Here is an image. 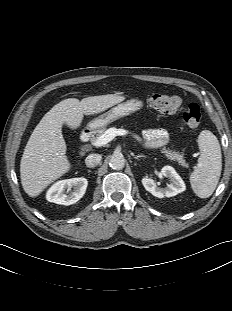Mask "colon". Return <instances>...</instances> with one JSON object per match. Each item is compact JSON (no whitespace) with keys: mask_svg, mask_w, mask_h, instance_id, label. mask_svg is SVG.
<instances>
[{"mask_svg":"<svg viewBox=\"0 0 232 311\" xmlns=\"http://www.w3.org/2000/svg\"><path fill=\"white\" fill-rule=\"evenodd\" d=\"M148 104L159 112L180 113L183 122L190 128H196L201 120L200 108L196 103H184L176 96L154 93L147 98Z\"/></svg>","mask_w":232,"mask_h":311,"instance_id":"1","label":"colon"}]
</instances>
